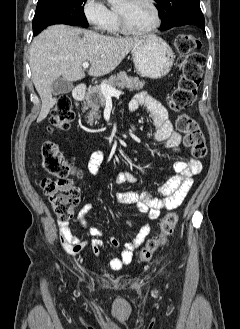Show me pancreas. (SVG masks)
<instances>
[{
	"mask_svg": "<svg viewBox=\"0 0 240 329\" xmlns=\"http://www.w3.org/2000/svg\"><path fill=\"white\" fill-rule=\"evenodd\" d=\"M104 83L115 88H127L130 91H139L144 85L145 81L140 80L138 77H128L126 72H120L117 75H112ZM105 98L99 86L92 87L89 89L86 96V103L83 106V111L90 109L87 115V123L92 125L95 119H100L99 109L104 107Z\"/></svg>",
	"mask_w": 240,
	"mask_h": 329,
	"instance_id": "cf45deb5",
	"label": "pancreas"
}]
</instances>
